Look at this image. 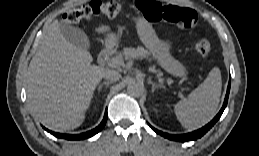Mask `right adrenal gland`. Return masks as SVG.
Instances as JSON below:
<instances>
[{"instance_id": "right-adrenal-gland-1", "label": "right adrenal gland", "mask_w": 259, "mask_h": 156, "mask_svg": "<svg viewBox=\"0 0 259 156\" xmlns=\"http://www.w3.org/2000/svg\"><path fill=\"white\" fill-rule=\"evenodd\" d=\"M111 83H112L111 81H104V82H102V83L99 85V87H98V91L100 92L101 89H102V87H103L104 85H105L106 88H107Z\"/></svg>"}]
</instances>
